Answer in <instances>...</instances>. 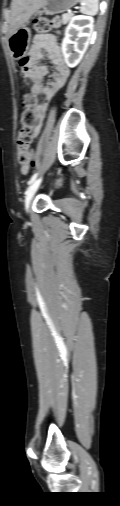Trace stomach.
Instances as JSON below:
<instances>
[{"label": "stomach", "mask_w": 120, "mask_h": 506, "mask_svg": "<svg viewBox=\"0 0 120 506\" xmlns=\"http://www.w3.org/2000/svg\"><path fill=\"white\" fill-rule=\"evenodd\" d=\"M79 0H46L44 6L39 14L45 13L48 15H54L69 10L71 7L76 5ZM30 43V31L25 26L20 27L12 35L8 37V44L12 56L15 59H20L24 56Z\"/></svg>", "instance_id": "1"}]
</instances>
